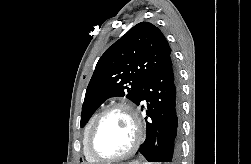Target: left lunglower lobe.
Segmentation results:
<instances>
[{"label":"left lung lower lobe","mask_w":251,"mask_h":164,"mask_svg":"<svg viewBox=\"0 0 251 164\" xmlns=\"http://www.w3.org/2000/svg\"><path fill=\"white\" fill-rule=\"evenodd\" d=\"M143 100L147 101L146 140L138 153L148 162L177 163L180 154L181 88L172 57L148 78L138 105Z\"/></svg>","instance_id":"obj_1"}]
</instances>
